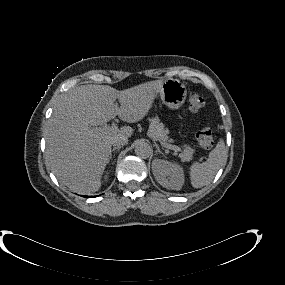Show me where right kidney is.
<instances>
[{
	"mask_svg": "<svg viewBox=\"0 0 285 285\" xmlns=\"http://www.w3.org/2000/svg\"><path fill=\"white\" fill-rule=\"evenodd\" d=\"M107 178H108V176L106 175V176H105V179H107Z\"/></svg>",
	"mask_w": 285,
	"mask_h": 285,
	"instance_id": "1",
	"label": "right kidney"
}]
</instances>
